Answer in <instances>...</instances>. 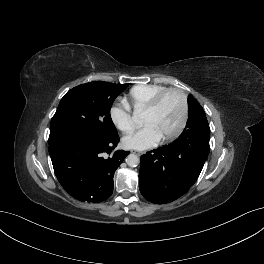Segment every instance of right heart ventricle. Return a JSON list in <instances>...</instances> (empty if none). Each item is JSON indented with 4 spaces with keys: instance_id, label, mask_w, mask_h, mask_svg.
I'll return each instance as SVG.
<instances>
[{
    "instance_id": "obj_1",
    "label": "right heart ventricle",
    "mask_w": 264,
    "mask_h": 264,
    "mask_svg": "<svg viewBox=\"0 0 264 264\" xmlns=\"http://www.w3.org/2000/svg\"><path fill=\"white\" fill-rule=\"evenodd\" d=\"M165 89L167 87L160 84L136 85L129 90L125 101L135 111H143L152 99Z\"/></svg>"
}]
</instances>
